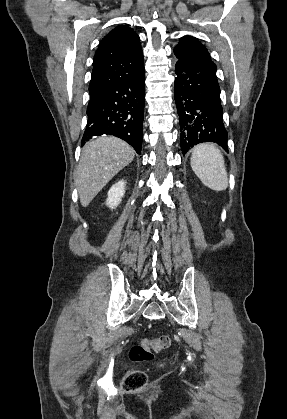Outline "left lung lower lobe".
Returning a JSON list of instances; mask_svg holds the SVG:
<instances>
[{
	"label": "left lung lower lobe",
	"instance_id": "left-lung-lower-lobe-1",
	"mask_svg": "<svg viewBox=\"0 0 287 419\" xmlns=\"http://www.w3.org/2000/svg\"><path fill=\"white\" fill-rule=\"evenodd\" d=\"M216 69V66L194 67L183 62L175 65L174 96L183 154L202 142H215L228 151Z\"/></svg>",
	"mask_w": 287,
	"mask_h": 419
}]
</instances>
